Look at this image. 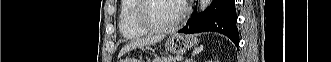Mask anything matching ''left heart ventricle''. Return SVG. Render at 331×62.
<instances>
[{"instance_id": "obj_1", "label": "left heart ventricle", "mask_w": 331, "mask_h": 62, "mask_svg": "<svg viewBox=\"0 0 331 62\" xmlns=\"http://www.w3.org/2000/svg\"><path fill=\"white\" fill-rule=\"evenodd\" d=\"M180 13V2L175 0H151L146 10L147 18L155 25L173 23Z\"/></svg>"}]
</instances>
